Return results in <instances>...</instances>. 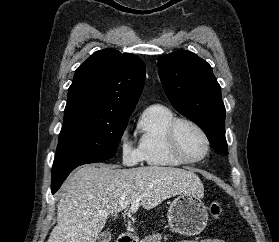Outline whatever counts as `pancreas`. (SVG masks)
<instances>
[{"instance_id":"cf45deb5","label":"pancreas","mask_w":279,"mask_h":242,"mask_svg":"<svg viewBox=\"0 0 279 242\" xmlns=\"http://www.w3.org/2000/svg\"><path fill=\"white\" fill-rule=\"evenodd\" d=\"M165 239H167L166 236ZM161 240H162V234L157 233V234L144 237L140 242H161Z\"/></svg>"}]
</instances>
